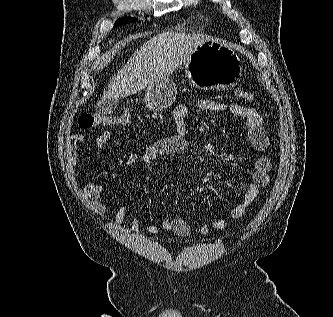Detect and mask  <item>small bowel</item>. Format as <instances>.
Listing matches in <instances>:
<instances>
[{
  "label": "small bowel",
  "instance_id": "c3829d8e",
  "mask_svg": "<svg viewBox=\"0 0 333 317\" xmlns=\"http://www.w3.org/2000/svg\"><path fill=\"white\" fill-rule=\"evenodd\" d=\"M194 107L202 111L222 112L227 111L232 115L242 118L245 121L246 132L249 142L253 148L259 152H263L269 145L268 134L264 127V119L262 115L253 108L244 107L238 104H224L211 99H200L194 102ZM192 105L183 103L178 105L173 111V117L176 125V134L173 136L161 138L148 145L144 152L139 155L136 152H130L126 157L122 167H127L141 161L144 164H152L164 156L181 154L188 150L186 119L190 113ZM113 135L110 132H104L95 140L97 151H100L111 139ZM84 141L81 134H73L69 137L66 147V158L71 168H75L78 158L79 145ZM271 162L268 157L260 156L254 162V170L247 189L239 202L230 211L231 219L241 218L249 206L256 199L259 189L266 186L270 181ZM120 168L114 171L113 176L120 173ZM104 186L95 183H88L83 187V195L90 204L91 208L98 215L105 213V206L101 197L104 192ZM127 207L122 203L116 210L114 216V225L120 227L126 217ZM227 227V220L223 218L216 219L213 222V228L223 230ZM160 229L171 231L179 236H189L192 232L200 235H207L210 227L200 225L195 228L191 227L184 219L175 217L172 219H164L160 224H150L147 227L149 234H156ZM139 230V221L133 218L130 224V231L137 232Z\"/></svg>",
  "mask_w": 333,
  "mask_h": 317
}]
</instances>
